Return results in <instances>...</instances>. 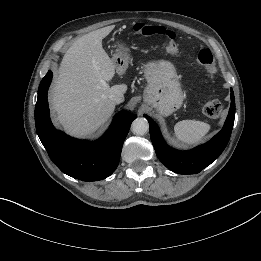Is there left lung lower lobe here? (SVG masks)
<instances>
[{"label": "left lung lower lobe", "instance_id": "0a47b994", "mask_svg": "<svg viewBox=\"0 0 261 261\" xmlns=\"http://www.w3.org/2000/svg\"><path fill=\"white\" fill-rule=\"evenodd\" d=\"M150 125V137L159 160L171 171L179 174H195L210 165L225 149L234 124L235 99L231 89V106L222 130L210 141L189 151H179L164 142L156 123L144 115Z\"/></svg>", "mask_w": 261, "mask_h": 261}]
</instances>
